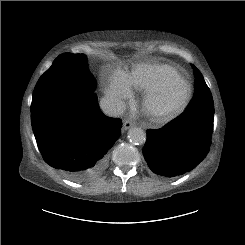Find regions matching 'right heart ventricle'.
I'll use <instances>...</instances> for the list:
<instances>
[{
    "mask_svg": "<svg viewBox=\"0 0 245 245\" xmlns=\"http://www.w3.org/2000/svg\"><path fill=\"white\" fill-rule=\"evenodd\" d=\"M177 74L168 65L141 64L127 78L131 86L145 91L169 83Z\"/></svg>",
    "mask_w": 245,
    "mask_h": 245,
    "instance_id": "obj_1",
    "label": "right heart ventricle"
}]
</instances>
